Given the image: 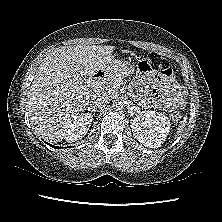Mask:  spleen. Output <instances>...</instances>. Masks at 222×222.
<instances>
[{"label":"spleen","mask_w":222,"mask_h":222,"mask_svg":"<svg viewBox=\"0 0 222 222\" xmlns=\"http://www.w3.org/2000/svg\"><path fill=\"white\" fill-rule=\"evenodd\" d=\"M185 123H186V119H184L181 123V126L178 128L177 130V134L181 133L183 131V128L185 126Z\"/></svg>","instance_id":"1"}]
</instances>
